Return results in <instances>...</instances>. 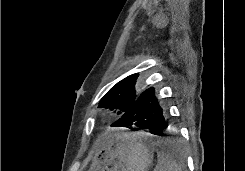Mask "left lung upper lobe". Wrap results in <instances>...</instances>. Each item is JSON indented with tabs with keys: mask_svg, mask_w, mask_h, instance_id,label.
Wrapping results in <instances>:
<instances>
[{
	"mask_svg": "<svg viewBox=\"0 0 245 171\" xmlns=\"http://www.w3.org/2000/svg\"><path fill=\"white\" fill-rule=\"evenodd\" d=\"M138 73L132 74L115 84L101 99L99 108L119 109L123 114L128 111L138 98L135 84ZM120 114V113H119Z\"/></svg>",
	"mask_w": 245,
	"mask_h": 171,
	"instance_id": "obj_1",
	"label": "left lung upper lobe"
}]
</instances>
